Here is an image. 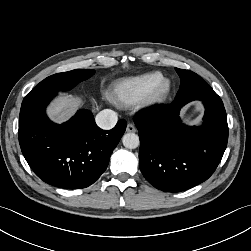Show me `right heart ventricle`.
Instances as JSON below:
<instances>
[{"instance_id": "obj_1", "label": "right heart ventricle", "mask_w": 251, "mask_h": 251, "mask_svg": "<svg viewBox=\"0 0 251 251\" xmlns=\"http://www.w3.org/2000/svg\"><path fill=\"white\" fill-rule=\"evenodd\" d=\"M164 79L161 72L153 71L124 78L111 89L110 97L118 105H134L142 100Z\"/></svg>"}]
</instances>
